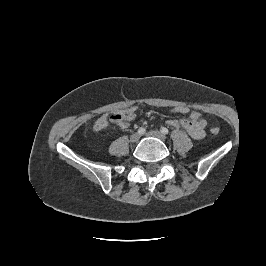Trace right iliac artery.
Segmentation results:
<instances>
[{
    "mask_svg": "<svg viewBox=\"0 0 266 266\" xmlns=\"http://www.w3.org/2000/svg\"><path fill=\"white\" fill-rule=\"evenodd\" d=\"M137 132L139 135H143L146 132V129L144 127H140Z\"/></svg>",
    "mask_w": 266,
    "mask_h": 266,
    "instance_id": "obj_1",
    "label": "right iliac artery"
}]
</instances>
